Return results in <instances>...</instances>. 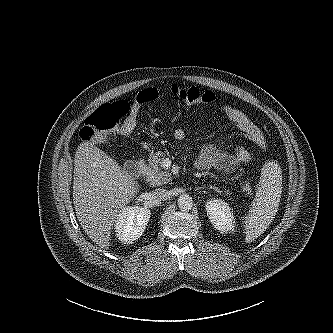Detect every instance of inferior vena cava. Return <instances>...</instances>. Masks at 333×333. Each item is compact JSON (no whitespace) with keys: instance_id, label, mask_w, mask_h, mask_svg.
<instances>
[{"instance_id":"obj_1","label":"inferior vena cava","mask_w":333,"mask_h":333,"mask_svg":"<svg viewBox=\"0 0 333 333\" xmlns=\"http://www.w3.org/2000/svg\"><path fill=\"white\" fill-rule=\"evenodd\" d=\"M152 195L155 199L161 200V201L167 200L169 198V192L163 188L155 189L153 191Z\"/></svg>"}]
</instances>
